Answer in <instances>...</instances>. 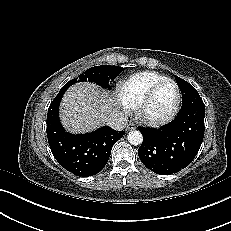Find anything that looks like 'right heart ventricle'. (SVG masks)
<instances>
[{"label": "right heart ventricle", "instance_id": "1", "mask_svg": "<svg viewBox=\"0 0 231 231\" xmlns=\"http://www.w3.org/2000/svg\"><path fill=\"white\" fill-rule=\"evenodd\" d=\"M163 79L164 76L151 71L137 73L120 84V98L126 106L135 108L146 92Z\"/></svg>", "mask_w": 231, "mask_h": 231}]
</instances>
